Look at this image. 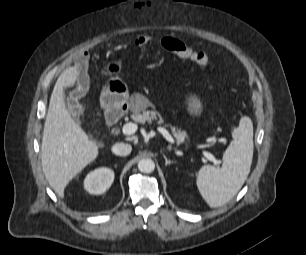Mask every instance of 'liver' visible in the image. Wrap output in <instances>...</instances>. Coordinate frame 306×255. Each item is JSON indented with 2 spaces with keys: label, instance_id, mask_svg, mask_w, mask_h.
Returning <instances> with one entry per match:
<instances>
[{
  "label": "liver",
  "instance_id": "1",
  "mask_svg": "<svg viewBox=\"0 0 306 255\" xmlns=\"http://www.w3.org/2000/svg\"><path fill=\"white\" fill-rule=\"evenodd\" d=\"M78 65L67 68L58 77L51 94L41 146L42 169L51 188L64 197L68 183L98 154V146L76 123L64 102V87L78 79Z\"/></svg>",
  "mask_w": 306,
  "mask_h": 255
}]
</instances>
